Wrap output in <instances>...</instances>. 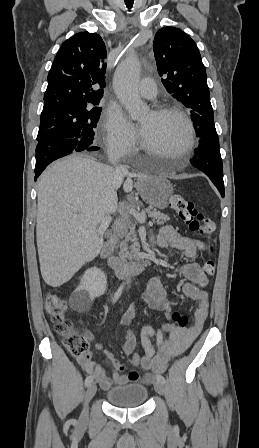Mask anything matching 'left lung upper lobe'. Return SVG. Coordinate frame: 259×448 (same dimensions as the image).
I'll return each instance as SVG.
<instances>
[{"label":"left lung upper lobe","instance_id":"obj_1","mask_svg":"<svg viewBox=\"0 0 259 448\" xmlns=\"http://www.w3.org/2000/svg\"><path fill=\"white\" fill-rule=\"evenodd\" d=\"M157 70L172 96L190 108L197 136L217 135L207 85L206 68L196 43L181 29L164 27L153 42Z\"/></svg>","mask_w":259,"mask_h":448}]
</instances>
